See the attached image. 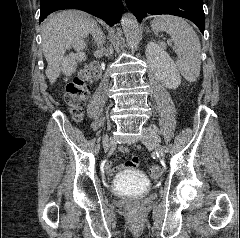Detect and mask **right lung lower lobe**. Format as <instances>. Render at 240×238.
<instances>
[{
    "mask_svg": "<svg viewBox=\"0 0 240 238\" xmlns=\"http://www.w3.org/2000/svg\"><path fill=\"white\" fill-rule=\"evenodd\" d=\"M41 23L50 13L78 8L103 19L108 25H114L121 19L122 0H40Z\"/></svg>",
    "mask_w": 240,
    "mask_h": 238,
    "instance_id": "98d812e1",
    "label": "right lung lower lobe"
}]
</instances>
